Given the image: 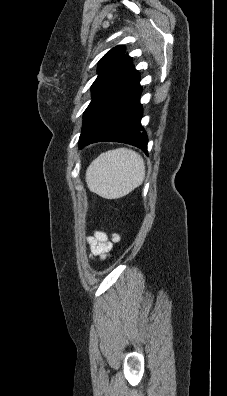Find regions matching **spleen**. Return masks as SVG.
Instances as JSON below:
<instances>
[{
  "mask_svg": "<svg viewBox=\"0 0 227 396\" xmlns=\"http://www.w3.org/2000/svg\"><path fill=\"white\" fill-rule=\"evenodd\" d=\"M145 163L137 152L117 148L100 154L86 171L89 190L106 199H117L140 186Z\"/></svg>",
  "mask_w": 227,
  "mask_h": 396,
  "instance_id": "1",
  "label": "spleen"
}]
</instances>
